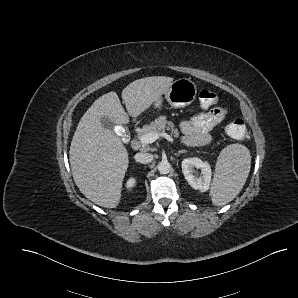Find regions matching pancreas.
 I'll use <instances>...</instances> for the list:
<instances>
[{"mask_svg": "<svg viewBox=\"0 0 298 298\" xmlns=\"http://www.w3.org/2000/svg\"><path fill=\"white\" fill-rule=\"evenodd\" d=\"M169 130L173 133L174 137L179 136V132L174 128V124L171 121H167L165 115H160L155 118L150 124L143 125L140 129H137V136L140 139L141 135H145L149 132H165V130Z\"/></svg>", "mask_w": 298, "mask_h": 298, "instance_id": "cf45deb5", "label": "pancreas"}]
</instances>
